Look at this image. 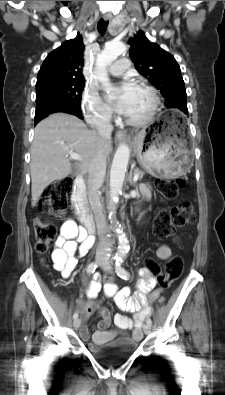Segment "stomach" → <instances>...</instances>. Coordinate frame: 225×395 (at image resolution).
Segmentation results:
<instances>
[{"label":"stomach","instance_id":"obj_1","mask_svg":"<svg viewBox=\"0 0 225 395\" xmlns=\"http://www.w3.org/2000/svg\"><path fill=\"white\" fill-rule=\"evenodd\" d=\"M133 144L140 165L151 174L176 178L188 170L190 149L174 114L160 113L136 134Z\"/></svg>","mask_w":225,"mask_h":395}]
</instances>
